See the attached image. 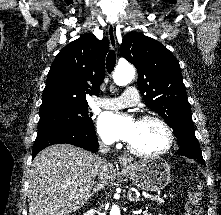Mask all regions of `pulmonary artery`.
Wrapping results in <instances>:
<instances>
[{
    "label": "pulmonary artery",
    "mask_w": 221,
    "mask_h": 215,
    "mask_svg": "<svg viewBox=\"0 0 221 215\" xmlns=\"http://www.w3.org/2000/svg\"><path fill=\"white\" fill-rule=\"evenodd\" d=\"M139 101L138 91L135 87H128L117 98H106L97 101V105L104 109H120L135 105Z\"/></svg>",
    "instance_id": "pulmonary-artery-1"
}]
</instances>
